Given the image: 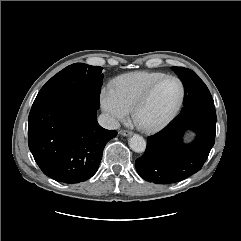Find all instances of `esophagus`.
Instances as JSON below:
<instances>
[{
	"label": "esophagus",
	"instance_id": "obj_1",
	"mask_svg": "<svg viewBox=\"0 0 241 241\" xmlns=\"http://www.w3.org/2000/svg\"><path fill=\"white\" fill-rule=\"evenodd\" d=\"M119 134L122 136H131L133 133L131 131L128 130H120Z\"/></svg>",
	"mask_w": 241,
	"mask_h": 241
}]
</instances>
